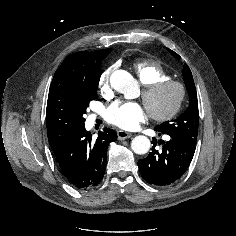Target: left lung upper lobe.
I'll list each match as a JSON object with an SVG mask.
<instances>
[{"instance_id": "5c2ea615", "label": "left lung upper lobe", "mask_w": 236, "mask_h": 236, "mask_svg": "<svg viewBox=\"0 0 236 236\" xmlns=\"http://www.w3.org/2000/svg\"><path fill=\"white\" fill-rule=\"evenodd\" d=\"M170 54L179 59L180 56L168 49ZM185 86L189 95V106L186 111L173 121H166L155 127V130L163 134L177 136L196 144L199 124V111L197 93L192 73L187 65L183 69Z\"/></svg>"}]
</instances>
